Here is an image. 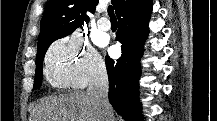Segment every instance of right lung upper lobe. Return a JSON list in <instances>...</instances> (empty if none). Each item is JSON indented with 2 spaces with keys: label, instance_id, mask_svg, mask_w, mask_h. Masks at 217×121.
Listing matches in <instances>:
<instances>
[{
  "label": "right lung upper lobe",
  "instance_id": "obj_1",
  "mask_svg": "<svg viewBox=\"0 0 217 121\" xmlns=\"http://www.w3.org/2000/svg\"><path fill=\"white\" fill-rule=\"evenodd\" d=\"M99 0H49L40 22L38 46L71 34L76 28L88 24L87 12L93 13ZM116 15L126 0H111Z\"/></svg>",
  "mask_w": 217,
  "mask_h": 121
}]
</instances>
